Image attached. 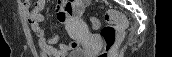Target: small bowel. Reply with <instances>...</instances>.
<instances>
[{"instance_id":"c3829d8e","label":"small bowel","mask_w":172,"mask_h":57,"mask_svg":"<svg viewBox=\"0 0 172 57\" xmlns=\"http://www.w3.org/2000/svg\"><path fill=\"white\" fill-rule=\"evenodd\" d=\"M88 3L89 0L59 2L56 16L57 21L60 24L71 23L73 19L77 18V16L82 13L83 8ZM44 7V0H36L34 2L24 1L23 3L27 22L37 38L42 53L49 57H64L67 53L75 51L79 47V43L76 40L62 42V38L59 34H53L50 38L47 37L41 26V22L44 20ZM55 45H57L58 48H56Z\"/></svg>"}]
</instances>
